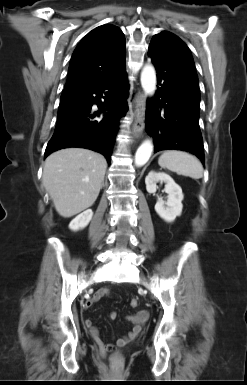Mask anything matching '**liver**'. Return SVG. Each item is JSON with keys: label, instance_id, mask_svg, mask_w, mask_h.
Masks as SVG:
<instances>
[{"label": "liver", "instance_id": "liver-1", "mask_svg": "<svg viewBox=\"0 0 247 385\" xmlns=\"http://www.w3.org/2000/svg\"><path fill=\"white\" fill-rule=\"evenodd\" d=\"M106 168L101 154L83 148L61 149L48 156L42 180L59 215L69 218L92 206Z\"/></svg>", "mask_w": 247, "mask_h": 385}]
</instances>
